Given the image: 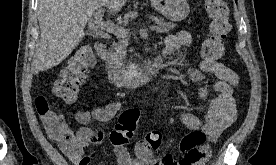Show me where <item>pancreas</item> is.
Here are the masks:
<instances>
[{"mask_svg": "<svg viewBox=\"0 0 276 165\" xmlns=\"http://www.w3.org/2000/svg\"><path fill=\"white\" fill-rule=\"evenodd\" d=\"M151 19L156 24V32L157 33H167L170 31L171 28L175 27V24L165 22L162 18L152 16ZM128 45V38L127 37H118V43H114L108 52V60L115 66V67H122L124 64V59L126 57V47Z\"/></svg>", "mask_w": 276, "mask_h": 165, "instance_id": "pancreas-1", "label": "pancreas"}]
</instances>
